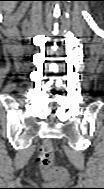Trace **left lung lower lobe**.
<instances>
[{
  "mask_svg": "<svg viewBox=\"0 0 104 189\" xmlns=\"http://www.w3.org/2000/svg\"><path fill=\"white\" fill-rule=\"evenodd\" d=\"M88 1H104V0H88Z\"/></svg>",
  "mask_w": 104,
  "mask_h": 189,
  "instance_id": "obj_1",
  "label": "left lung lower lobe"
}]
</instances>
